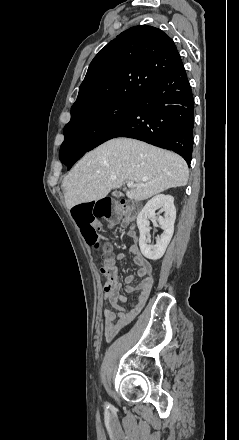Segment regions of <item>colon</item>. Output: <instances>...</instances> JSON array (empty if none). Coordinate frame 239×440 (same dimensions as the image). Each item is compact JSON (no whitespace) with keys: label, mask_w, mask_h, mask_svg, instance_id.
I'll return each instance as SVG.
<instances>
[{"label":"colon","mask_w":239,"mask_h":440,"mask_svg":"<svg viewBox=\"0 0 239 440\" xmlns=\"http://www.w3.org/2000/svg\"><path fill=\"white\" fill-rule=\"evenodd\" d=\"M139 206L133 202L114 203L104 198L97 202L84 203L72 209L73 218L80 228L81 234L89 245H99L98 219H106L110 224L126 222L134 217ZM118 268L113 254L106 251L103 254L101 273L106 278H114Z\"/></svg>","instance_id":"colon-1"}]
</instances>
